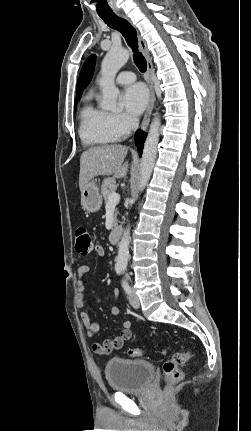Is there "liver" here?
<instances>
[{"mask_svg": "<svg viewBox=\"0 0 251 431\" xmlns=\"http://www.w3.org/2000/svg\"><path fill=\"white\" fill-rule=\"evenodd\" d=\"M127 147L120 144L90 148L80 157L79 188H83L96 176L113 175L122 178L128 172V162L123 164Z\"/></svg>", "mask_w": 251, "mask_h": 431, "instance_id": "liver-1", "label": "liver"}]
</instances>
